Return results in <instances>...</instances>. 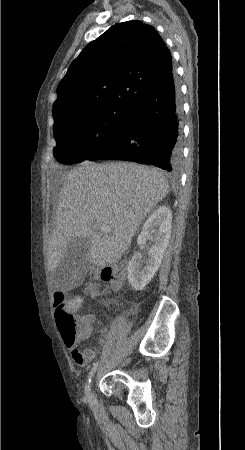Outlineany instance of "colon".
Masks as SVG:
<instances>
[{"label": "colon", "instance_id": "obj_1", "mask_svg": "<svg viewBox=\"0 0 245 450\" xmlns=\"http://www.w3.org/2000/svg\"><path fill=\"white\" fill-rule=\"evenodd\" d=\"M126 263L121 262L113 267L104 268L100 278L105 282L116 283L122 281L126 274ZM63 293H56L55 300H62ZM55 325L57 331L67 344L80 343L86 340L91 333L90 323L76 319L64 304L57 307L55 313Z\"/></svg>", "mask_w": 245, "mask_h": 450}]
</instances>
